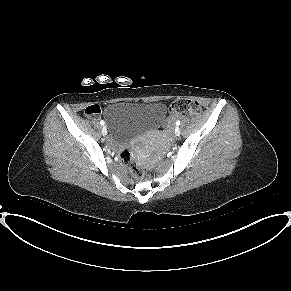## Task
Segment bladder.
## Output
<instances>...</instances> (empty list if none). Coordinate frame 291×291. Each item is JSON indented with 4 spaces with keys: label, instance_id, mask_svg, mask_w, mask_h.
I'll return each instance as SVG.
<instances>
[{
    "label": "bladder",
    "instance_id": "bladder-1",
    "mask_svg": "<svg viewBox=\"0 0 291 291\" xmlns=\"http://www.w3.org/2000/svg\"><path fill=\"white\" fill-rule=\"evenodd\" d=\"M167 116L163 103L113 102L104 111L110 137L127 144L138 135L158 128Z\"/></svg>",
    "mask_w": 291,
    "mask_h": 291
}]
</instances>
